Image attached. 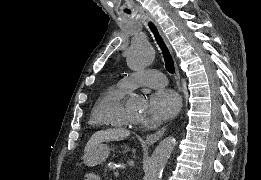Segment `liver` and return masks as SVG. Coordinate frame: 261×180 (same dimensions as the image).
Wrapping results in <instances>:
<instances>
[{
	"label": "liver",
	"mask_w": 261,
	"mask_h": 180,
	"mask_svg": "<svg viewBox=\"0 0 261 180\" xmlns=\"http://www.w3.org/2000/svg\"><path fill=\"white\" fill-rule=\"evenodd\" d=\"M130 136L129 130H125V128H113V130H99V132H95L93 136H91L90 140H88L84 152L87 154L89 150L95 148L97 144H101V142H118V140H125Z\"/></svg>",
	"instance_id": "obj_1"
}]
</instances>
